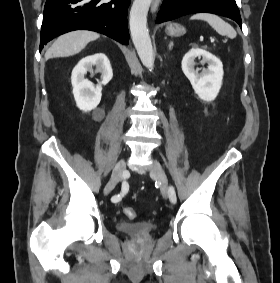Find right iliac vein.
<instances>
[{
	"instance_id": "63e3f726",
	"label": "right iliac vein",
	"mask_w": 280,
	"mask_h": 283,
	"mask_svg": "<svg viewBox=\"0 0 280 283\" xmlns=\"http://www.w3.org/2000/svg\"><path fill=\"white\" fill-rule=\"evenodd\" d=\"M125 168H126L125 160L124 159L119 160L113 169L109 182L104 188V195L109 194L116 186V184L121 180Z\"/></svg>"
}]
</instances>
